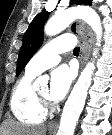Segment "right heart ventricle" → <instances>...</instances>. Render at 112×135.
I'll use <instances>...</instances> for the list:
<instances>
[{"label":"right heart ventricle","instance_id":"obj_1","mask_svg":"<svg viewBox=\"0 0 112 135\" xmlns=\"http://www.w3.org/2000/svg\"><path fill=\"white\" fill-rule=\"evenodd\" d=\"M36 74L25 72L13 89L10 109L13 116L27 125L41 124L47 112L40 106L33 87Z\"/></svg>","mask_w":112,"mask_h":135}]
</instances>
